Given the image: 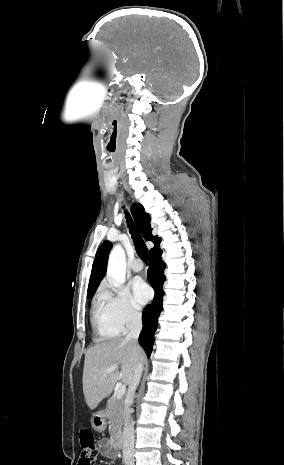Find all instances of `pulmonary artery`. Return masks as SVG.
Returning a JSON list of instances; mask_svg holds the SVG:
<instances>
[{"mask_svg": "<svg viewBox=\"0 0 284 465\" xmlns=\"http://www.w3.org/2000/svg\"><path fill=\"white\" fill-rule=\"evenodd\" d=\"M130 268L133 272H140L143 269V263L139 259H136L131 263Z\"/></svg>", "mask_w": 284, "mask_h": 465, "instance_id": "obj_1", "label": "pulmonary artery"}]
</instances>
